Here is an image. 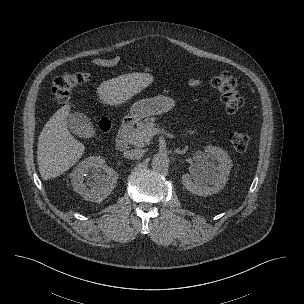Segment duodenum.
Segmentation results:
<instances>
[{
	"mask_svg": "<svg viewBox=\"0 0 304 304\" xmlns=\"http://www.w3.org/2000/svg\"><path fill=\"white\" fill-rule=\"evenodd\" d=\"M134 125V120L132 118H125L118 129L116 137V147L120 151H124L128 146V135Z\"/></svg>",
	"mask_w": 304,
	"mask_h": 304,
	"instance_id": "obj_1",
	"label": "duodenum"
}]
</instances>
